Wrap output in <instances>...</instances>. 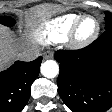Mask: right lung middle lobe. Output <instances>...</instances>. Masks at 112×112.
<instances>
[{"label": "right lung middle lobe", "instance_id": "right-lung-middle-lobe-1", "mask_svg": "<svg viewBox=\"0 0 112 112\" xmlns=\"http://www.w3.org/2000/svg\"><path fill=\"white\" fill-rule=\"evenodd\" d=\"M15 20L9 16H0V24H3L8 27H12L15 25Z\"/></svg>", "mask_w": 112, "mask_h": 112}]
</instances>
